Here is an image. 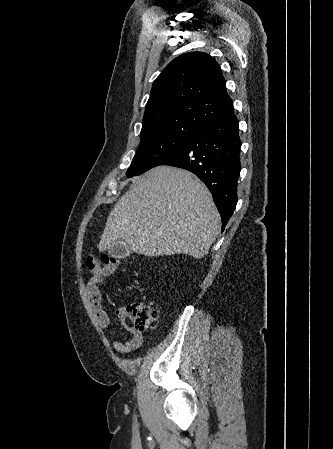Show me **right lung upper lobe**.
Returning <instances> with one entry per match:
<instances>
[{"instance_id": "obj_1", "label": "right lung upper lobe", "mask_w": 333, "mask_h": 449, "mask_svg": "<svg viewBox=\"0 0 333 449\" xmlns=\"http://www.w3.org/2000/svg\"><path fill=\"white\" fill-rule=\"evenodd\" d=\"M214 58L190 52L171 61L152 85L141 133L173 123L203 128L234 111Z\"/></svg>"}]
</instances>
